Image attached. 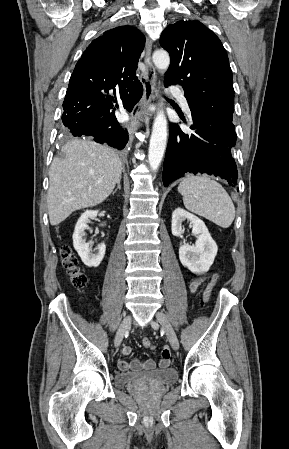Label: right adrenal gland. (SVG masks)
I'll list each match as a JSON object with an SVG mask.
<instances>
[{
	"label": "right adrenal gland",
	"mask_w": 289,
	"mask_h": 449,
	"mask_svg": "<svg viewBox=\"0 0 289 449\" xmlns=\"http://www.w3.org/2000/svg\"><path fill=\"white\" fill-rule=\"evenodd\" d=\"M117 190H121L120 180L117 182V188L112 192V194L116 193Z\"/></svg>",
	"instance_id": "2a0ac1e0"
}]
</instances>
